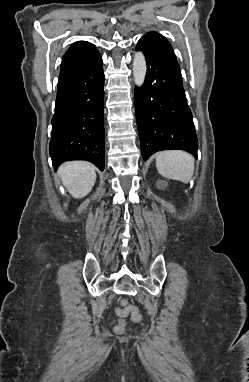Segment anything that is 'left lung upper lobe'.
<instances>
[{
  "instance_id": "left-lung-upper-lobe-1",
  "label": "left lung upper lobe",
  "mask_w": 249,
  "mask_h": 382,
  "mask_svg": "<svg viewBox=\"0 0 249 382\" xmlns=\"http://www.w3.org/2000/svg\"><path fill=\"white\" fill-rule=\"evenodd\" d=\"M143 37L151 40L152 42L157 44L162 49L168 51L173 57L176 58L174 51L172 49V46L167 41V39L164 36H162L161 34L156 33V32H150V33H147L146 35H144Z\"/></svg>"
}]
</instances>
